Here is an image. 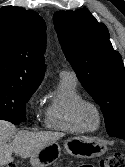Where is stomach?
I'll return each mask as SVG.
<instances>
[{
	"instance_id": "1",
	"label": "stomach",
	"mask_w": 125,
	"mask_h": 167,
	"mask_svg": "<svg viewBox=\"0 0 125 167\" xmlns=\"http://www.w3.org/2000/svg\"><path fill=\"white\" fill-rule=\"evenodd\" d=\"M67 154L77 158H93L103 155L107 148L97 139L76 136L64 142ZM61 156V148L57 142L50 143L31 156L30 163L33 167H47Z\"/></svg>"
}]
</instances>
